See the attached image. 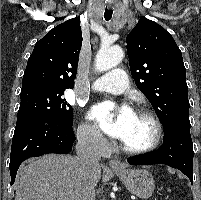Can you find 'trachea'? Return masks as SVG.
Masks as SVG:
<instances>
[{"mask_svg":"<svg viewBox=\"0 0 201 200\" xmlns=\"http://www.w3.org/2000/svg\"><path fill=\"white\" fill-rule=\"evenodd\" d=\"M113 10L111 8L106 7L105 8V13H104V18L106 21H109L112 18Z\"/></svg>","mask_w":201,"mask_h":200,"instance_id":"trachea-1","label":"trachea"}]
</instances>
